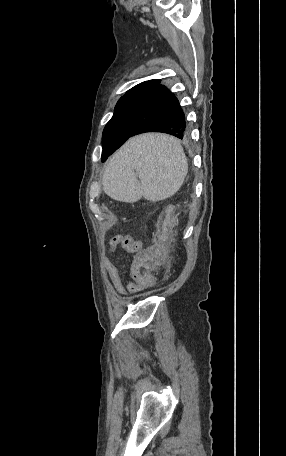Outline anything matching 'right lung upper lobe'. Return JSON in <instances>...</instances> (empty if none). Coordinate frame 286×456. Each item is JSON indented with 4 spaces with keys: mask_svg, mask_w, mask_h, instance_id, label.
<instances>
[{
    "mask_svg": "<svg viewBox=\"0 0 286 456\" xmlns=\"http://www.w3.org/2000/svg\"><path fill=\"white\" fill-rule=\"evenodd\" d=\"M159 82H160V80H157V79L156 80H149V81L142 82V83L136 85L135 87H133L132 89H130L129 91H127V93L123 97H125L126 95H128L129 93H131V92H133V91H135L137 89H140L142 87H145V86H148V85H151V84L159 83Z\"/></svg>",
    "mask_w": 286,
    "mask_h": 456,
    "instance_id": "obj_1",
    "label": "right lung upper lobe"
}]
</instances>
